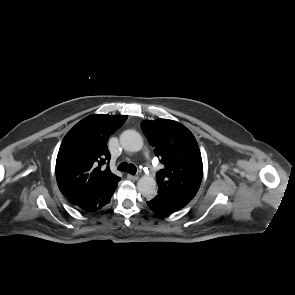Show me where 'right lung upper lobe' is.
Masks as SVG:
<instances>
[{
    "label": "right lung upper lobe",
    "mask_w": 295,
    "mask_h": 295,
    "mask_svg": "<svg viewBox=\"0 0 295 295\" xmlns=\"http://www.w3.org/2000/svg\"><path fill=\"white\" fill-rule=\"evenodd\" d=\"M127 116L93 114L78 122L64 137L56 160V179L68 199L83 198L100 191L119 178L111 173L107 149L109 136Z\"/></svg>",
    "instance_id": "cb5924a9"
}]
</instances>
